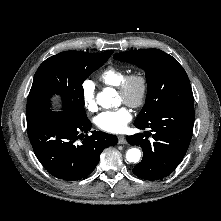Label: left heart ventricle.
<instances>
[{"label": "left heart ventricle", "mask_w": 221, "mask_h": 221, "mask_svg": "<svg viewBox=\"0 0 221 221\" xmlns=\"http://www.w3.org/2000/svg\"><path fill=\"white\" fill-rule=\"evenodd\" d=\"M119 97H120V100H121V101H123V98H122V96H121V95H119Z\"/></svg>", "instance_id": "b2bd125f"}]
</instances>
